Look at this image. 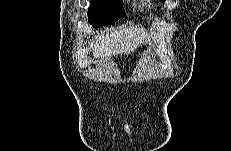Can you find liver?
<instances>
[{
    "mask_svg": "<svg viewBox=\"0 0 231 151\" xmlns=\"http://www.w3.org/2000/svg\"><path fill=\"white\" fill-rule=\"evenodd\" d=\"M149 35L144 29L139 28H110L101 32L97 38L93 55L95 58L110 59L112 55H128L137 47L149 41Z\"/></svg>",
    "mask_w": 231,
    "mask_h": 151,
    "instance_id": "liver-1",
    "label": "liver"
}]
</instances>
